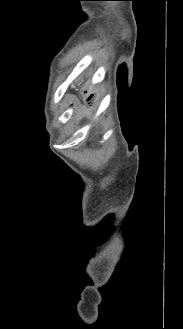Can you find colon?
Masks as SVG:
<instances>
[{"label": "colon", "instance_id": "colon-1", "mask_svg": "<svg viewBox=\"0 0 183 329\" xmlns=\"http://www.w3.org/2000/svg\"><path fill=\"white\" fill-rule=\"evenodd\" d=\"M59 91H60V92H63V91H64V88H63V87H60V88H59Z\"/></svg>", "mask_w": 183, "mask_h": 329}]
</instances>
